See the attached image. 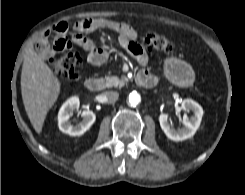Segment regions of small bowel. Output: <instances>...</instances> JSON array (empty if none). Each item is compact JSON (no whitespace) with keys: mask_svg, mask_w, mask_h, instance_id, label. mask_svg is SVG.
<instances>
[{"mask_svg":"<svg viewBox=\"0 0 245 195\" xmlns=\"http://www.w3.org/2000/svg\"><path fill=\"white\" fill-rule=\"evenodd\" d=\"M74 28L76 33L72 37V43L87 51L88 63L92 65H102L108 60L110 54L105 49L97 46L86 36V33L99 29H110L118 33L119 45L135 58L138 64L143 68L142 71H146L148 55L143 47L137 43V33L129 24L104 18H89L79 21ZM67 30L68 24L66 22H59L54 25L51 30L46 31L42 41L37 45L39 52L43 56H49L55 52L64 51L69 48L71 41L66 37ZM51 33L54 34V39L49 44L47 38Z\"/></svg>","mask_w":245,"mask_h":195,"instance_id":"c3829d8e","label":"small bowel"}]
</instances>
